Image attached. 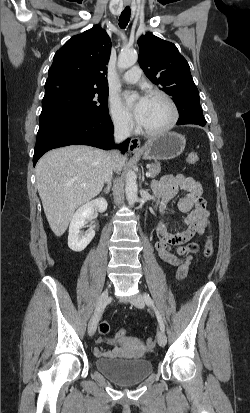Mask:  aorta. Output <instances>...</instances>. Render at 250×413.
<instances>
[{
	"label": "aorta",
	"mask_w": 250,
	"mask_h": 413,
	"mask_svg": "<svg viewBox=\"0 0 250 413\" xmlns=\"http://www.w3.org/2000/svg\"><path fill=\"white\" fill-rule=\"evenodd\" d=\"M137 59L138 55L136 51H122L119 54L117 66L120 69H127L133 66ZM137 190L136 174L133 171H128L126 175L125 192L129 205H133L137 201Z\"/></svg>",
	"instance_id": "1"
}]
</instances>
